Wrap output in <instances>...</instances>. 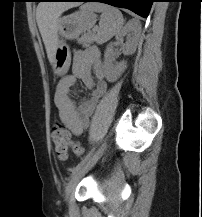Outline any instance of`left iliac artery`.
<instances>
[{
	"instance_id": "obj_1",
	"label": "left iliac artery",
	"mask_w": 202,
	"mask_h": 217,
	"mask_svg": "<svg viewBox=\"0 0 202 217\" xmlns=\"http://www.w3.org/2000/svg\"><path fill=\"white\" fill-rule=\"evenodd\" d=\"M92 155V151L89 152L84 159H82L81 162H79L73 169H72V174L71 178L76 174V172L89 160L90 156Z\"/></svg>"
}]
</instances>
